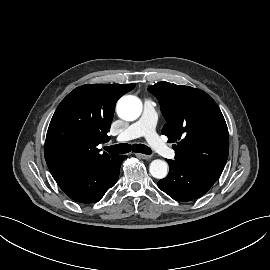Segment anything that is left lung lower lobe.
Returning a JSON list of instances; mask_svg holds the SVG:
<instances>
[{
  "mask_svg": "<svg viewBox=\"0 0 270 270\" xmlns=\"http://www.w3.org/2000/svg\"><path fill=\"white\" fill-rule=\"evenodd\" d=\"M169 174L158 187L178 201H191L204 195L219 179L221 173L210 168L167 160Z\"/></svg>",
  "mask_w": 270,
  "mask_h": 270,
  "instance_id": "1",
  "label": "left lung lower lobe"
}]
</instances>
